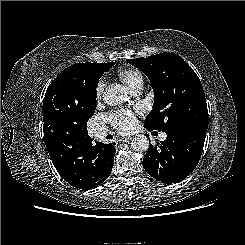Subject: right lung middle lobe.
<instances>
[{
  "label": "right lung middle lobe",
  "instance_id": "1",
  "mask_svg": "<svg viewBox=\"0 0 245 245\" xmlns=\"http://www.w3.org/2000/svg\"><path fill=\"white\" fill-rule=\"evenodd\" d=\"M100 76H94L91 81L90 89H89V96L91 101V113L90 116L95 112L96 107V95H97V84ZM87 124H85L81 130V135H87Z\"/></svg>",
  "mask_w": 245,
  "mask_h": 245
}]
</instances>
